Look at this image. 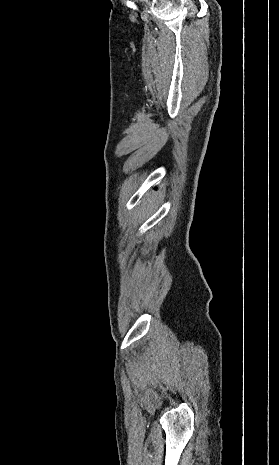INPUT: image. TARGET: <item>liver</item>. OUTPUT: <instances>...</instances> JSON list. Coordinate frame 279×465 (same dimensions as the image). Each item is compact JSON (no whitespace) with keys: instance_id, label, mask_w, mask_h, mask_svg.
<instances>
[{"instance_id":"6515ba94","label":"liver","mask_w":279,"mask_h":465,"mask_svg":"<svg viewBox=\"0 0 279 465\" xmlns=\"http://www.w3.org/2000/svg\"><path fill=\"white\" fill-rule=\"evenodd\" d=\"M152 199H153V196H152L151 198H148V199L146 200V203H147V202L152 203Z\"/></svg>"}]
</instances>
